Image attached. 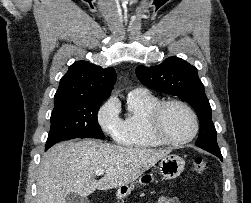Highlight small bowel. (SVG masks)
<instances>
[{
  "instance_id": "obj_1",
  "label": "small bowel",
  "mask_w": 251,
  "mask_h": 203,
  "mask_svg": "<svg viewBox=\"0 0 251 203\" xmlns=\"http://www.w3.org/2000/svg\"><path fill=\"white\" fill-rule=\"evenodd\" d=\"M157 203H181L176 197L162 196L158 199Z\"/></svg>"
}]
</instances>
